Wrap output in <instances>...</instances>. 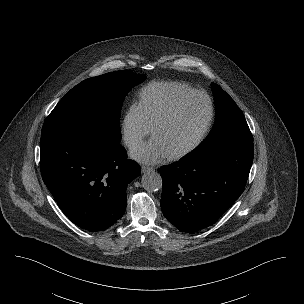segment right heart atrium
<instances>
[{
  "label": "right heart atrium",
  "mask_w": 304,
  "mask_h": 304,
  "mask_svg": "<svg viewBox=\"0 0 304 304\" xmlns=\"http://www.w3.org/2000/svg\"><path fill=\"white\" fill-rule=\"evenodd\" d=\"M120 129L123 142L130 149L138 146L150 133L151 127L146 122L137 101L128 106L122 117Z\"/></svg>",
  "instance_id": "right-heart-atrium-1"
}]
</instances>
